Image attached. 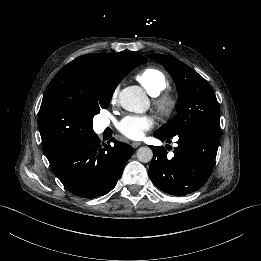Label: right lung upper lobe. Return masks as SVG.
<instances>
[{
    "label": "right lung upper lobe",
    "mask_w": 261,
    "mask_h": 261,
    "mask_svg": "<svg viewBox=\"0 0 261 261\" xmlns=\"http://www.w3.org/2000/svg\"><path fill=\"white\" fill-rule=\"evenodd\" d=\"M131 54L83 55L64 66L51 80L38 115L42 147L49 162L94 134L96 89L116 79L122 61Z\"/></svg>",
    "instance_id": "obj_1"
}]
</instances>
